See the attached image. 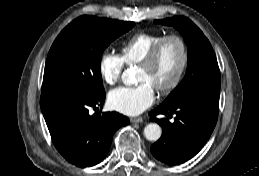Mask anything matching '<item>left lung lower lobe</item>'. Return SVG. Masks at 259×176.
<instances>
[{"label":"left lung lower lobe","instance_id":"obj_1","mask_svg":"<svg viewBox=\"0 0 259 176\" xmlns=\"http://www.w3.org/2000/svg\"><path fill=\"white\" fill-rule=\"evenodd\" d=\"M218 104L194 98L173 106H158L149 113L151 121L162 127L161 138L151 146L155 158L168 164H182L194 157L205 145L218 118ZM158 114L166 118L158 119ZM175 115L174 121H169Z\"/></svg>","mask_w":259,"mask_h":176}]
</instances>
